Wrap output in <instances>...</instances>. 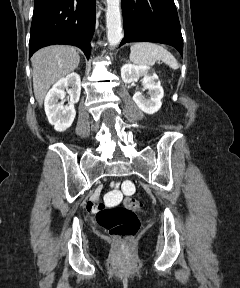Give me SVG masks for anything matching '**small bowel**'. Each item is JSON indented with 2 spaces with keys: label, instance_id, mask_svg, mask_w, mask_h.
I'll return each mask as SVG.
<instances>
[{
  "label": "small bowel",
  "instance_id": "obj_1",
  "mask_svg": "<svg viewBox=\"0 0 240 288\" xmlns=\"http://www.w3.org/2000/svg\"><path fill=\"white\" fill-rule=\"evenodd\" d=\"M97 196H98V194L95 195V198H97ZM89 209H90V210H95V207L93 206V204H91V205L89 206Z\"/></svg>",
  "mask_w": 240,
  "mask_h": 288
}]
</instances>
